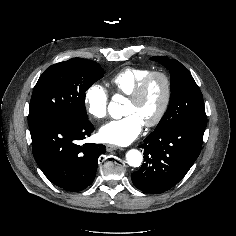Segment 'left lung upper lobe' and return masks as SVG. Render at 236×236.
I'll list each match as a JSON object with an SVG mask.
<instances>
[{
	"mask_svg": "<svg viewBox=\"0 0 236 236\" xmlns=\"http://www.w3.org/2000/svg\"><path fill=\"white\" fill-rule=\"evenodd\" d=\"M151 59L169 69L171 80V101L155 131L177 125L206 127L203 96L190 72L175 59L160 56Z\"/></svg>",
	"mask_w": 236,
	"mask_h": 236,
	"instance_id": "left-lung-upper-lobe-1",
	"label": "left lung upper lobe"
}]
</instances>
